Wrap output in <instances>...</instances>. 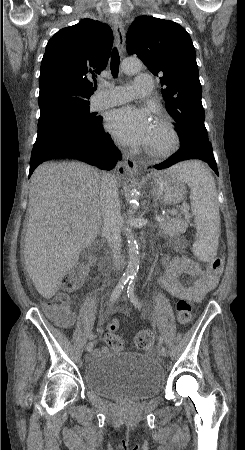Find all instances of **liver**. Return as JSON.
Segmentation results:
<instances>
[{"mask_svg": "<svg viewBox=\"0 0 245 450\" xmlns=\"http://www.w3.org/2000/svg\"><path fill=\"white\" fill-rule=\"evenodd\" d=\"M100 183L99 173L80 162L44 163L32 174L24 262L46 299L100 233Z\"/></svg>", "mask_w": 245, "mask_h": 450, "instance_id": "obj_1", "label": "liver"}]
</instances>
